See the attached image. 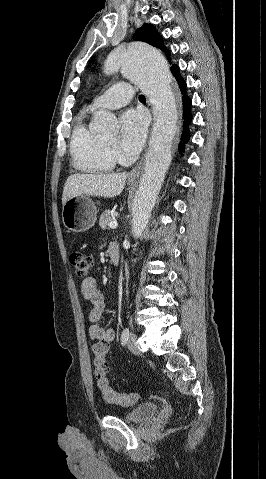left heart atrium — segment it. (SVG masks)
<instances>
[{
  "label": "left heart atrium",
  "instance_id": "obj_1",
  "mask_svg": "<svg viewBox=\"0 0 266 479\" xmlns=\"http://www.w3.org/2000/svg\"><path fill=\"white\" fill-rule=\"evenodd\" d=\"M147 117L141 111L128 110L121 118L119 145L128 154L137 153L146 138Z\"/></svg>",
  "mask_w": 266,
  "mask_h": 479
}]
</instances>
